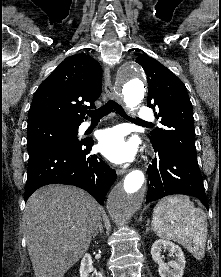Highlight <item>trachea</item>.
Masks as SVG:
<instances>
[{
  "label": "trachea",
  "mask_w": 221,
  "mask_h": 277,
  "mask_svg": "<svg viewBox=\"0 0 221 277\" xmlns=\"http://www.w3.org/2000/svg\"><path fill=\"white\" fill-rule=\"evenodd\" d=\"M114 109V111H116V113H118L119 115L125 117V118H128V119H133L135 121H138V122H143V123H148V122H145L143 120H140V119H135V118H132L130 117L126 112L125 110L117 103L115 102L114 100H110L108 101L105 105H103L102 107H100L99 109L97 110H94V111H87V115L90 116L92 119H101L103 118L104 116L108 115L110 112H112Z\"/></svg>",
  "instance_id": "1"
}]
</instances>
